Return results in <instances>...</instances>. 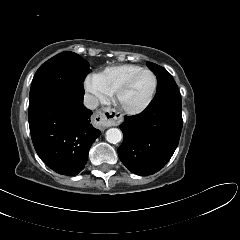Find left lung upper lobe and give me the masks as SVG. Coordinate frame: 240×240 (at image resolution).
<instances>
[{
  "mask_svg": "<svg viewBox=\"0 0 240 240\" xmlns=\"http://www.w3.org/2000/svg\"><path fill=\"white\" fill-rule=\"evenodd\" d=\"M147 65L155 73L158 80L157 92L152 102L163 99H181L178 86L170 73L154 63L148 62Z\"/></svg>",
  "mask_w": 240,
  "mask_h": 240,
  "instance_id": "5c2ea615",
  "label": "left lung upper lobe"
}]
</instances>
